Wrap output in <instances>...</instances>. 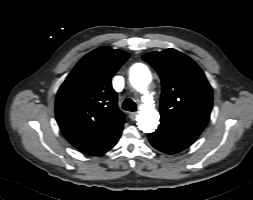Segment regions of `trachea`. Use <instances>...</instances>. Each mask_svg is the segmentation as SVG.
Listing matches in <instances>:
<instances>
[{
	"mask_svg": "<svg viewBox=\"0 0 253 200\" xmlns=\"http://www.w3.org/2000/svg\"><path fill=\"white\" fill-rule=\"evenodd\" d=\"M123 109L126 111H135L136 110V104L131 99H125L122 105Z\"/></svg>",
	"mask_w": 253,
	"mask_h": 200,
	"instance_id": "1",
	"label": "trachea"
}]
</instances>
